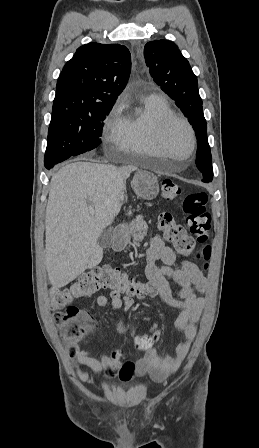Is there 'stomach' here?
<instances>
[{
  "mask_svg": "<svg viewBox=\"0 0 259 448\" xmlns=\"http://www.w3.org/2000/svg\"><path fill=\"white\" fill-rule=\"evenodd\" d=\"M122 232H123V236H124L126 242H128V240H130V238H131V232H130L129 228H127V226H123Z\"/></svg>",
  "mask_w": 259,
  "mask_h": 448,
  "instance_id": "0dacf381",
  "label": "stomach"
}]
</instances>
